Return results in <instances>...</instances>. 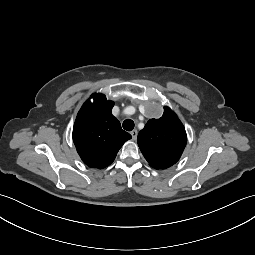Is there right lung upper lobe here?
<instances>
[{
	"label": "right lung upper lobe",
	"mask_w": 255,
	"mask_h": 255,
	"mask_svg": "<svg viewBox=\"0 0 255 255\" xmlns=\"http://www.w3.org/2000/svg\"><path fill=\"white\" fill-rule=\"evenodd\" d=\"M114 102L105 95L96 94L80 109L74 127L73 141L83 162L92 168L110 165L119 149L131 135L122 130L119 121L111 114Z\"/></svg>",
	"instance_id": "obj_1"
}]
</instances>
